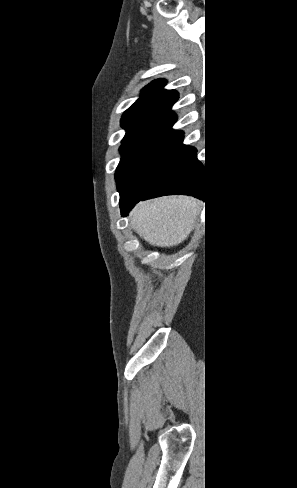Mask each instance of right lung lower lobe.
<instances>
[{"mask_svg":"<svg viewBox=\"0 0 297 488\" xmlns=\"http://www.w3.org/2000/svg\"><path fill=\"white\" fill-rule=\"evenodd\" d=\"M182 142L183 132L176 133L130 193L120 199L122 216L139 201L163 195L184 194L205 199L203 165L197 160V150Z\"/></svg>","mask_w":297,"mask_h":488,"instance_id":"obj_1","label":"right lung lower lobe"}]
</instances>
